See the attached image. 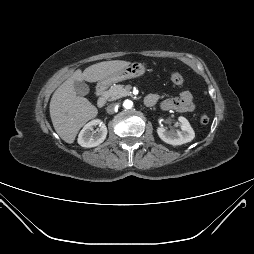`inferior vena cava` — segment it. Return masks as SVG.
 Segmentation results:
<instances>
[{"mask_svg": "<svg viewBox=\"0 0 254 254\" xmlns=\"http://www.w3.org/2000/svg\"><path fill=\"white\" fill-rule=\"evenodd\" d=\"M116 108H117V103H112L107 106L106 111H107V113L112 114V113H114Z\"/></svg>", "mask_w": 254, "mask_h": 254, "instance_id": "602c4592", "label": "inferior vena cava"}]
</instances>
